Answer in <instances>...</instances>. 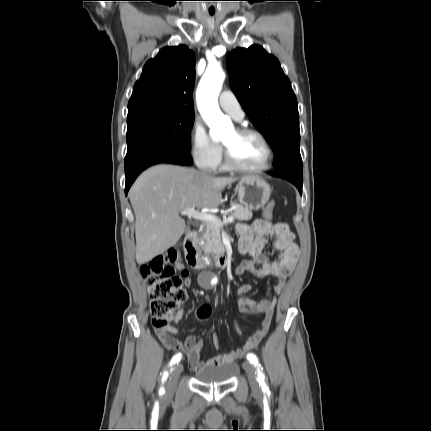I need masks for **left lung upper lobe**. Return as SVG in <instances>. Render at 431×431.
Wrapping results in <instances>:
<instances>
[{
    "label": "left lung upper lobe",
    "mask_w": 431,
    "mask_h": 431,
    "mask_svg": "<svg viewBox=\"0 0 431 431\" xmlns=\"http://www.w3.org/2000/svg\"><path fill=\"white\" fill-rule=\"evenodd\" d=\"M226 65L232 91L275 153L274 171H302L297 100L279 61L252 45L231 51Z\"/></svg>",
    "instance_id": "left-lung-upper-lobe-1"
}]
</instances>
